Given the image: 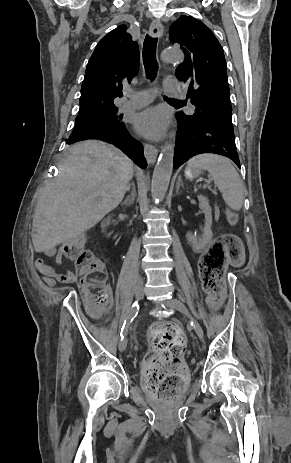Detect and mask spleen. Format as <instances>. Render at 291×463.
I'll list each match as a JSON object with an SVG mask.
<instances>
[{
    "label": "spleen",
    "mask_w": 291,
    "mask_h": 463,
    "mask_svg": "<svg viewBox=\"0 0 291 463\" xmlns=\"http://www.w3.org/2000/svg\"><path fill=\"white\" fill-rule=\"evenodd\" d=\"M188 166L207 170L225 203L235 211L242 208L244 185L229 159L215 154H201L190 159Z\"/></svg>",
    "instance_id": "3e777b00"
}]
</instances>
